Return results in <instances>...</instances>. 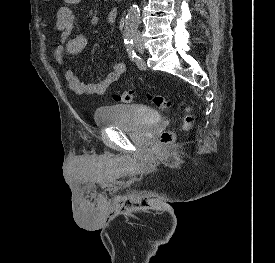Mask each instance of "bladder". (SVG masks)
Here are the masks:
<instances>
[{
  "label": "bladder",
  "mask_w": 275,
  "mask_h": 263,
  "mask_svg": "<svg viewBox=\"0 0 275 263\" xmlns=\"http://www.w3.org/2000/svg\"><path fill=\"white\" fill-rule=\"evenodd\" d=\"M93 119L99 127L136 131L156 125L160 115L156 109L145 105H106L94 110Z\"/></svg>",
  "instance_id": "1"
}]
</instances>
